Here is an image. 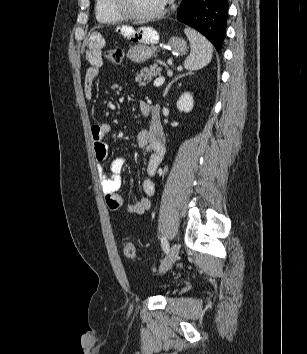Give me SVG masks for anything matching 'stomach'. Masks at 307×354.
Returning <instances> with one entry per match:
<instances>
[{
	"label": "stomach",
	"instance_id": "stomach-1",
	"mask_svg": "<svg viewBox=\"0 0 307 354\" xmlns=\"http://www.w3.org/2000/svg\"><path fill=\"white\" fill-rule=\"evenodd\" d=\"M134 45L128 51V57L135 63H142L155 56L158 51L156 43H158V33L150 27H142L138 29L136 38H128ZM164 48L173 54L183 55L186 53L187 44L184 39L173 36L163 43Z\"/></svg>",
	"mask_w": 307,
	"mask_h": 354
}]
</instances>
